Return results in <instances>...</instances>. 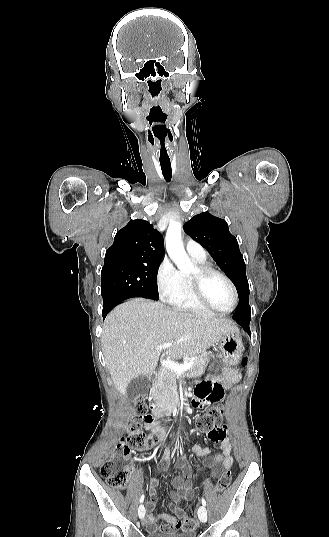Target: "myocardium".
Listing matches in <instances>:
<instances>
[{"mask_svg":"<svg viewBox=\"0 0 329 537\" xmlns=\"http://www.w3.org/2000/svg\"><path fill=\"white\" fill-rule=\"evenodd\" d=\"M196 273L194 275H190L188 277V281H189V284H190V289H191V292L193 294V296L195 297V299L201 304L203 305L205 308H207L208 310L210 311H213V312H216V313H219V314H230L232 313L237 305H238V302H239V295H238V291L234 285V283L232 282V280L227 276L225 275L224 273H222L221 271L211 267V266H208V265H204V264H200V265H197L196 266ZM218 276L220 278H222L230 287L232 293H233V305L231 307V309L227 310V311H222V310H219L217 308H215L207 299L205 293H204V289H203V283H204V280L209 277V276Z\"/></svg>","mask_w":329,"mask_h":537,"instance_id":"f54148a6","label":"myocardium"}]
</instances>
